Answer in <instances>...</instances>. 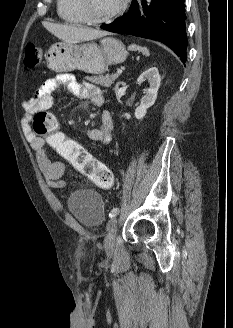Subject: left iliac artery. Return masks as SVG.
Wrapping results in <instances>:
<instances>
[{
	"instance_id": "1",
	"label": "left iliac artery",
	"mask_w": 233,
	"mask_h": 328,
	"mask_svg": "<svg viewBox=\"0 0 233 328\" xmlns=\"http://www.w3.org/2000/svg\"><path fill=\"white\" fill-rule=\"evenodd\" d=\"M118 213H119V209H118V208H113V209L111 210V212L109 213V217H110V218H113V217H115Z\"/></svg>"
}]
</instances>
